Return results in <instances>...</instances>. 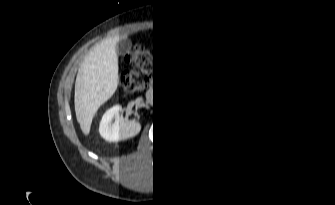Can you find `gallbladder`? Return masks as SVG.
I'll return each mask as SVG.
<instances>
[{
  "instance_id": "bac80fb5",
  "label": "gallbladder",
  "mask_w": 335,
  "mask_h": 205,
  "mask_svg": "<svg viewBox=\"0 0 335 205\" xmlns=\"http://www.w3.org/2000/svg\"><path fill=\"white\" fill-rule=\"evenodd\" d=\"M116 48L119 54H126L127 52H129L131 46L129 43H119L117 44Z\"/></svg>"
}]
</instances>
